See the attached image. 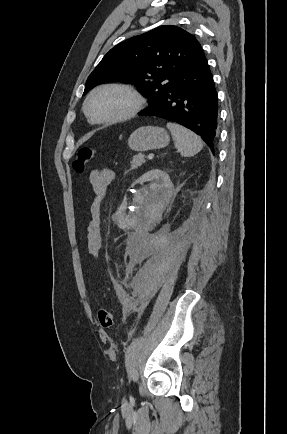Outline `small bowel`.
I'll return each instance as SVG.
<instances>
[{"instance_id": "small-bowel-1", "label": "small bowel", "mask_w": 287, "mask_h": 434, "mask_svg": "<svg viewBox=\"0 0 287 434\" xmlns=\"http://www.w3.org/2000/svg\"><path fill=\"white\" fill-rule=\"evenodd\" d=\"M115 180V172L109 168L94 169L89 174V183L94 192V199L89 209V221L86 231L88 252L98 257L103 247L101 226V208L106 190Z\"/></svg>"}]
</instances>
